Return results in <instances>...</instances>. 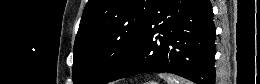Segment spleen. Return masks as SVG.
<instances>
[{"label": "spleen", "instance_id": "1", "mask_svg": "<svg viewBox=\"0 0 260 84\" xmlns=\"http://www.w3.org/2000/svg\"><path fill=\"white\" fill-rule=\"evenodd\" d=\"M159 77L165 79L168 84H191L190 81L169 73H159Z\"/></svg>", "mask_w": 260, "mask_h": 84}]
</instances>
